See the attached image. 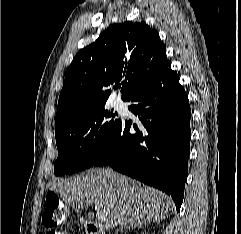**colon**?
<instances>
[{"label":"colon","instance_id":"obj_1","mask_svg":"<svg viewBox=\"0 0 241 234\" xmlns=\"http://www.w3.org/2000/svg\"><path fill=\"white\" fill-rule=\"evenodd\" d=\"M67 217L68 210L59 197L56 194H48L46 196L45 211L42 217L43 225L51 229L66 221Z\"/></svg>","mask_w":241,"mask_h":234}]
</instances>
